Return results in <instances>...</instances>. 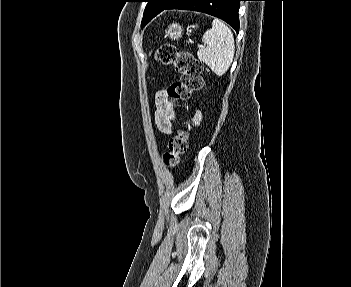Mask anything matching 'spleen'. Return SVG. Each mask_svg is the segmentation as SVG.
<instances>
[{"label":"spleen","mask_w":351,"mask_h":287,"mask_svg":"<svg viewBox=\"0 0 351 287\" xmlns=\"http://www.w3.org/2000/svg\"><path fill=\"white\" fill-rule=\"evenodd\" d=\"M202 41L206 47L197 52L199 60L208 65L216 75H224L235 53L234 37L230 28L221 20L214 19L212 28L204 33Z\"/></svg>","instance_id":"3e777b00"}]
</instances>
